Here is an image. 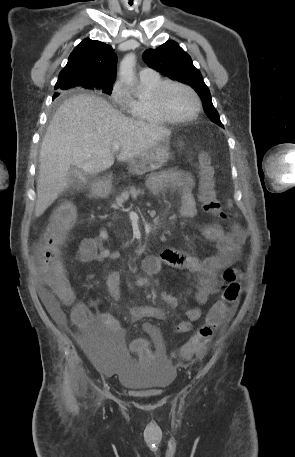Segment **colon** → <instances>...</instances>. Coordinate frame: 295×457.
Instances as JSON below:
<instances>
[{
  "label": "colon",
  "mask_w": 295,
  "mask_h": 457,
  "mask_svg": "<svg viewBox=\"0 0 295 457\" xmlns=\"http://www.w3.org/2000/svg\"><path fill=\"white\" fill-rule=\"evenodd\" d=\"M198 163L200 176L199 199L202 202L203 209L218 219L225 220L226 215L222 212L220 202L216 196L214 169L210 165L208 155L205 153L200 154ZM75 218L76 211L71 204L64 203L60 205L50 218L39 252L41 270L47 278L50 289L58 300L66 305L74 302L75 292L64 273L60 246L65 232L72 226ZM223 276L226 285L223 288L221 298L212 305L205 322L180 349L179 354L184 361L190 360L205 351L214 331L228 319L234 304L238 300L240 294L238 271L227 269ZM129 349L131 354L134 355V361L138 362L139 366H150L151 360H154V353L151 351L149 341H130ZM173 357H176V354H173Z\"/></svg>",
  "instance_id": "5ec220e1"
}]
</instances>
